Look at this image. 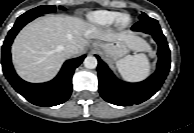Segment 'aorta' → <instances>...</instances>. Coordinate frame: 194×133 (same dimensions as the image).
<instances>
[{
	"label": "aorta",
	"mask_w": 194,
	"mask_h": 133,
	"mask_svg": "<svg viewBox=\"0 0 194 133\" xmlns=\"http://www.w3.org/2000/svg\"><path fill=\"white\" fill-rule=\"evenodd\" d=\"M83 63L87 69H94L97 67V59L94 56H87Z\"/></svg>",
	"instance_id": "762f6f07"
}]
</instances>
